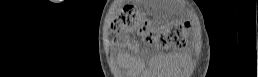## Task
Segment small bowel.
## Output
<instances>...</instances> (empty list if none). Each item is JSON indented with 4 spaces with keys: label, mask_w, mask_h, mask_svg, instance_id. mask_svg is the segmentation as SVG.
Masks as SVG:
<instances>
[{
    "label": "small bowel",
    "mask_w": 258,
    "mask_h": 77,
    "mask_svg": "<svg viewBox=\"0 0 258 77\" xmlns=\"http://www.w3.org/2000/svg\"><path fill=\"white\" fill-rule=\"evenodd\" d=\"M126 47H127L128 49L132 50V51H136V50H137L136 44H135L133 41H130V40H128V41L126 42ZM126 57H127V59L130 60L133 64L139 65L140 62H139L138 56H129V55H127Z\"/></svg>",
    "instance_id": "small-bowel-1"
}]
</instances>
